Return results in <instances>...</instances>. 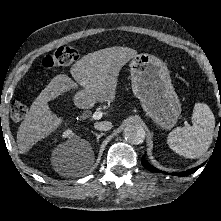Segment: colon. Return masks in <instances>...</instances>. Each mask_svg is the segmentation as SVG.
<instances>
[{"label": "colon", "instance_id": "colon-1", "mask_svg": "<svg viewBox=\"0 0 221 221\" xmlns=\"http://www.w3.org/2000/svg\"><path fill=\"white\" fill-rule=\"evenodd\" d=\"M79 58L78 51L70 46L63 45L58 47L51 54L46 55L40 65L38 66L39 70H53L57 67L70 66L75 63ZM27 113L26 105L20 100H16L12 103L10 114L11 118L15 121L22 120Z\"/></svg>", "mask_w": 221, "mask_h": 221}]
</instances>
